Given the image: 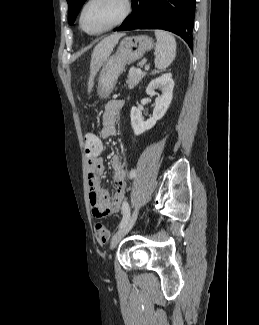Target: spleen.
<instances>
[{
	"instance_id": "1",
	"label": "spleen",
	"mask_w": 259,
	"mask_h": 325,
	"mask_svg": "<svg viewBox=\"0 0 259 325\" xmlns=\"http://www.w3.org/2000/svg\"><path fill=\"white\" fill-rule=\"evenodd\" d=\"M157 39L155 47V67L159 70H165L176 56L175 38L163 30H155Z\"/></svg>"
}]
</instances>
